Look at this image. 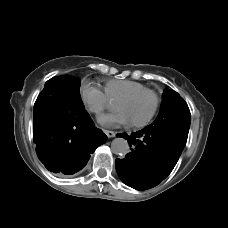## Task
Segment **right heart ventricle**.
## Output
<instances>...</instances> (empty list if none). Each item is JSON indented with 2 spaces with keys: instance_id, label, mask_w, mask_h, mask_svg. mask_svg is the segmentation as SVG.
Returning <instances> with one entry per match:
<instances>
[{
  "instance_id": "1",
  "label": "right heart ventricle",
  "mask_w": 228,
  "mask_h": 228,
  "mask_svg": "<svg viewBox=\"0 0 228 228\" xmlns=\"http://www.w3.org/2000/svg\"><path fill=\"white\" fill-rule=\"evenodd\" d=\"M146 90H150L148 86L132 80H111L105 85L106 96L115 106L126 98Z\"/></svg>"
}]
</instances>
